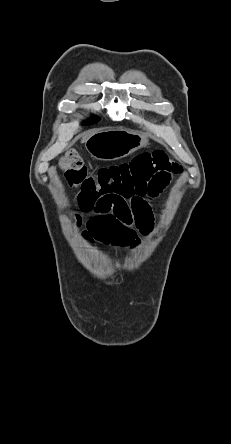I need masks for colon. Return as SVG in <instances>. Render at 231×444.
<instances>
[{
    "instance_id": "5ec220e1",
    "label": "colon",
    "mask_w": 231,
    "mask_h": 444,
    "mask_svg": "<svg viewBox=\"0 0 231 444\" xmlns=\"http://www.w3.org/2000/svg\"><path fill=\"white\" fill-rule=\"evenodd\" d=\"M61 167L71 186L84 198L117 197L126 200L137 210L145 196H152L151 185L166 184L172 174L181 172V167L172 162L162 151L137 156L130 163L110 166L89 173L82 158L73 151L67 152Z\"/></svg>"
}]
</instances>
